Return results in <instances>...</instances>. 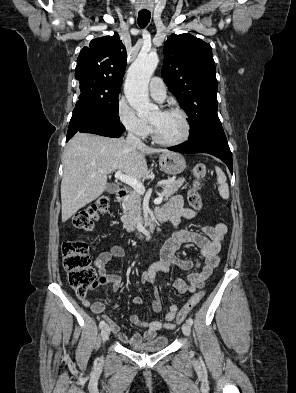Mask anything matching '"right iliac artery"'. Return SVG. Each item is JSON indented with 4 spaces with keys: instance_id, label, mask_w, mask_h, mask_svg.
Here are the masks:
<instances>
[{
    "instance_id": "1",
    "label": "right iliac artery",
    "mask_w": 296,
    "mask_h": 393,
    "mask_svg": "<svg viewBox=\"0 0 296 393\" xmlns=\"http://www.w3.org/2000/svg\"><path fill=\"white\" fill-rule=\"evenodd\" d=\"M105 324H106L105 321L102 320V321L99 323V327H100V328H103V327L105 326Z\"/></svg>"
}]
</instances>
